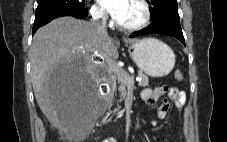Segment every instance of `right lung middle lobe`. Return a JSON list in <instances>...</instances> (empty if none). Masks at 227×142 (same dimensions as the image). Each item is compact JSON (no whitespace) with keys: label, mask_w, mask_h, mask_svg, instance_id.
<instances>
[{"label":"right lung middle lobe","mask_w":227,"mask_h":142,"mask_svg":"<svg viewBox=\"0 0 227 142\" xmlns=\"http://www.w3.org/2000/svg\"><path fill=\"white\" fill-rule=\"evenodd\" d=\"M36 15L61 9H82L84 0H37Z\"/></svg>","instance_id":"right-lung-middle-lobe-1"}]
</instances>
